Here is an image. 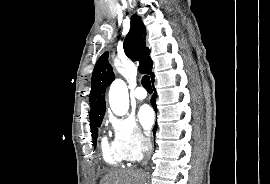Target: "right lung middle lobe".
Returning a JSON list of instances; mask_svg holds the SVG:
<instances>
[{
  "instance_id": "1",
  "label": "right lung middle lobe",
  "mask_w": 270,
  "mask_h": 184,
  "mask_svg": "<svg viewBox=\"0 0 270 184\" xmlns=\"http://www.w3.org/2000/svg\"><path fill=\"white\" fill-rule=\"evenodd\" d=\"M101 122L102 121H99V122H96V123L90 125L94 147H96V143H97L96 140H97V137H98V127H100Z\"/></svg>"
}]
</instances>
